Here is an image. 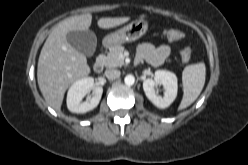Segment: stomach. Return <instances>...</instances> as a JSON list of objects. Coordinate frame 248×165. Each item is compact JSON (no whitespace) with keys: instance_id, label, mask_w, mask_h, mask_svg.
Returning <instances> with one entry per match:
<instances>
[{"instance_id":"0dacf381","label":"stomach","mask_w":248,"mask_h":165,"mask_svg":"<svg viewBox=\"0 0 248 165\" xmlns=\"http://www.w3.org/2000/svg\"><path fill=\"white\" fill-rule=\"evenodd\" d=\"M148 30V21L140 18L107 35L103 42L106 46H115L133 42L142 37Z\"/></svg>"}]
</instances>
